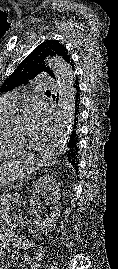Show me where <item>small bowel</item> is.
Returning <instances> with one entry per match:
<instances>
[{
  "mask_svg": "<svg viewBox=\"0 0 118 269\" xmlns=\"http://www.w3.org/2000/svg\"><path fill=\"white\" fill-rule=\"evenodd\" d=\"M31 246L28 239L17 237L14 233V220L10 213V206L0 205V251L4 252L13 247L18 251H25ZM13 259V258H12ZM1 269V268H0Z\"/></svg>",
  "mask_w": 118,
  "mask_h": 269,
  "instance_id": "c3829d8e",
  "label": "small bowel"
}]
</instances>
